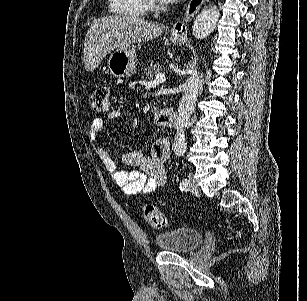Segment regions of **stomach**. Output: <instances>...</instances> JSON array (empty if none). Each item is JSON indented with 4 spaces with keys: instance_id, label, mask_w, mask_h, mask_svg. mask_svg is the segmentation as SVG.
<instances>
[{
    "instance_id": "0dacf381",
    "label": "stomach",
    "mask_w": 307,
    "mask_h": 301,
    "mask_svg": "<svg viewBox=\"0 0 307 301\" xmlns=\"http://www.w3.org/2000/svg\"><path fill=\"white\" fill-rule=\"evenodd\" d=\"M170 40L176 42V44H182L184 42V36H178V34H170ZM137 48L135 44H127L126 48L122 50H114L110 54L108 60V68L116 78H122V76H132L137 72Z\"/></svg>"
}]
</instances>
